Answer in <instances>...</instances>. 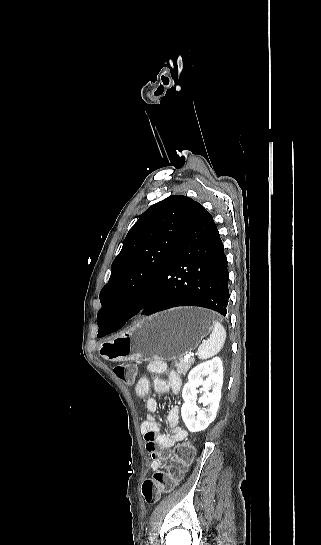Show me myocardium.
I'll return each mask as SVG.
<instances>
[{
    "mask_svg": "<svg viewBox=\"0 0 321 545\" xmlns=\"http://www.w3.org/2000/svg\"><path fill=\"white\" fill-rule=\"evenodd\" d=\"M135 310H136V308H134V307L130 308L131 312H134Z\"/></svg>",
    "mask_w": 321,
    "mask_h": 545,
    "instance_id": "myocardium-1",
    "label": "myocardium"
}]
</instances>
